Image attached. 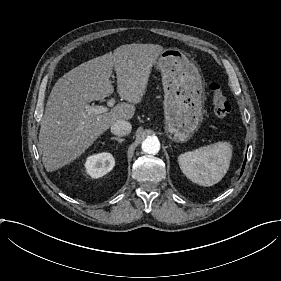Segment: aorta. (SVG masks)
<instances>
[{"label":"aorta","instance_id":"762f6f07","mask_svg":"<svg viewBox=\"0 0 281 281\" xmlns=\"http://www.w3.org/2000/svg\"><path fill=\"white\" fill-rule=\"evenodd\" d=\"M142 150L148 154H157L160 150V142L157 137H147L142 142Z\"/></svg>","mask_w":281,"mask_h":281}]
</instances>
